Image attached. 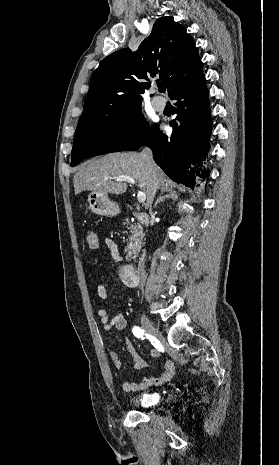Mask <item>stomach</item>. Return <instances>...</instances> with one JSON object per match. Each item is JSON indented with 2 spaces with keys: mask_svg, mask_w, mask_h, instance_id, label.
I'll use <instances>...</instances> for the list:
<instances>
[{
  "mask_svg": "<svg viewBox=\"0 0 279 465\" xmlns=\"http://www.w3.org/2000/svg\"><path fill=\"white\" fill-rule=\"evenodd\" d=\"M88 203L90 210L97 215L115 216L119 213L118 204L102 193L91 192L88 196Z\"/></svg>",
  "mask_w": 279,
  "mask_h": 465,
  "instance_id": "obj_1",
  "label": "stomach"
}]
</instances>
